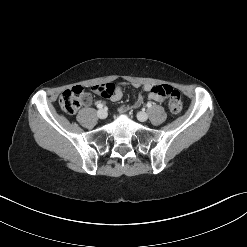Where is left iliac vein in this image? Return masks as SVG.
Returning <instances> with one entry per match:
<instances>
[{"instance_id": "1", "label": "left iliac vein", "mask_w": 247, "mask_h": 247, "mask_svg": "<svg viewBox=\"0 0 247 247\" xmlns=\"http://www.w3.org/2000/svg\"><path fill=\"white\" fill-rule=\"evenodd\" d=\"M137 118L141 122H145L148 119V114L145 112H138L137 113Z\"/></svg>"}]
</instances>
